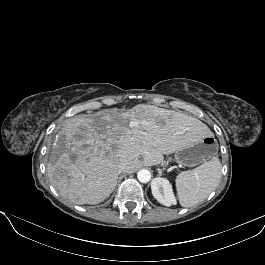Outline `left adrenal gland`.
<instances>
[{
  "label": "left adrenal gland",
  "mask_w": 265,
  "mask_h": 265,
  "mask_svg": "<svg viewBox=\"0 0 265 265\" xmlns=\"http://www.w3.org/2000/svg\"><path fill=\"white\" fill-rule=\"evenodd\" d=\"M158 172H159V175H161V174H162V170H161V169H158Z\"/></svg>",
  "instance_id": "left-adrenal-gland-1"
}]
</instances>
